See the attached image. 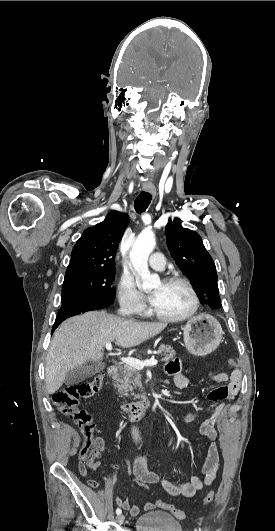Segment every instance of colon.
<instances>
[{"label": "colon", "instance_id": "1", "mask_svg": "<svg viewBox=\"0 0 275 531\" xmlns=\"http://www.w3.org/2000/svg\"><path fill=\"white\" fill-rule=\"evenodd\" d=\"M228 363L232 367L238 366V361L232 357L229 358ZM102 384L103 376L97 374L68 385L57 391L53 397L55 407L75 422L83 436V443L79 452V471L84 475L87 473L86 465L94 467L99 464L97 457L101 451L102 441L95 439V426L92 422V415L87 410L79 408V400L98 393ZM88 484L93 488L97 486L96 481L92 479L88 481ZM140 485L144 487L143 491L148 489L146 484ZM215 497V492L213 490L209 491L203 498V504L205 506L211 504ZM157 502L160 510L166 511L179 519L184 517V512L174 505L164 501Z\"/></svg>", "mask_w": 275, "mask_h": 531}]
</instances>
